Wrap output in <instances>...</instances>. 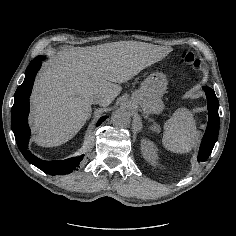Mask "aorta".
Segmentation results:
<instances>
[{
  "instance_id": "obj_1",
  "label": "aorta",
  "mask_w": 236,
  "mask_h": 236,
  "mask_svg": "<svg viewBox=\"0 0 236 236\" xmlns=\"http://www.w3.org/2000/svg\"><path fill=\"white\" fill-rule=\"evenodd\" d=\"M113 125L117 128H127L130 125V114L123 109H117L111 116Z\"/></svg>"
}]
</instances>
